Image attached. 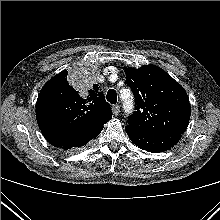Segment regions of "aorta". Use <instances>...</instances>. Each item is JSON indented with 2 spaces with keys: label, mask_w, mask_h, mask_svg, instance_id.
Masks as SVG:
<instances>
[{
  "label": "aorta",
  "mask_w": 220,
  "mask_h": 220,
  "mask_svg": "<svg viewBox=\"0 0 220 220\" xmlns=\"http://www.w3.org/2000/svg\"><path fill=\"white\" fill-rule=\"evenodd\" d=\"M132 98V97H131ZM124 111L126 112V113H130V112H132V110H133V102H132V100L130 99V98H128V99H125V101H124Z\"/></svg>",
  "instance_id": "obj_1"
}]
</instances>
